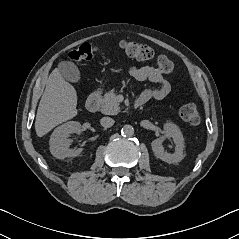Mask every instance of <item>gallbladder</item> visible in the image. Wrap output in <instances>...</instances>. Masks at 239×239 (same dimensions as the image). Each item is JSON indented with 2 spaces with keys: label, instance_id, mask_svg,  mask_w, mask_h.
<instances>
[{
  "label": "gallbladder",
  "instance_id": "gallbladder-1",
  "mask_svg": "<svg viewBox=\"0 0 239 239\" xmlns=\"http://www.w3.org/2000/svg\"><path fill=\"white\" fill-rule=\"evenodd\" d=\"M58 69L66 80L74 83L80 80V71L74 63L61 61L58 65Z\"/></svg>",
  "mask_w": 239,
  "mask_h": 239
}]
</instances>
